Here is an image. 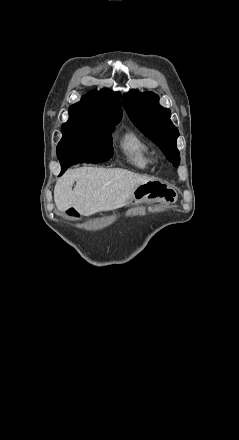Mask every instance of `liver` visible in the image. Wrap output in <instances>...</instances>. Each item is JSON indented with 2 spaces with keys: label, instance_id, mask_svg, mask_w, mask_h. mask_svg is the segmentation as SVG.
<instances>
[{
  "label": "liver",
  "instance_id": "liver-1",
  "mask_svg": "<svg viewBox=\"0 0 239 440\" xmlns=\"http://www.w3.org/2000/svg\"><path fill=\"white\" fill-rule=\"evenodd\" d=\"M147 182L155 180L120 168H76L58 178L54 202L59 212L75 208L81 216H93L126 206L133 192Z\"/></svg>",
  "mask_w": 239,
  "mask_h": 440
}]
</instances>
